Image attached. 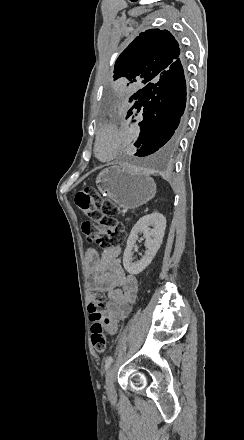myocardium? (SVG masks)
Here are the masks:
<instances>
[{"instance_id":"myocardium-1","label":"myocardium","mask_w":244,"mask_h":440,"mask_svg":"<svg viewBox=\"0 0 244 440\" xmlns=\"http://www.w3.org/2000/svg\"><path fill=\"white\" fill-rule=\"evenodd\" d=\"M102 137L107 138V144L104 152L101 150L100 147V140ZM115 141V134L109 128H104L95 134L94 154L99 161L106 163L110 162L114 158Z\"/></svg>"}]
</instances>
